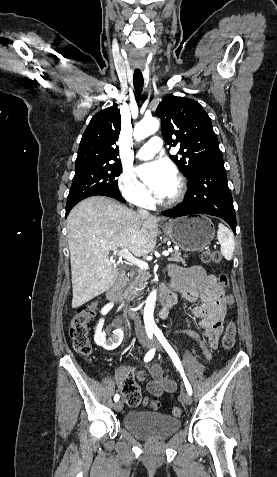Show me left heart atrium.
<instances>
[{
  "mask_svg": "<svg viewBox=\"0 0 277 477\" xmlns=\"http://www.w3.org/2000/svg\"><path fill=\"white\" fill-rule=\"evenodd\" d=\"M149 189L159 198H165L176 182L174 167L165 160H157L138 169Z\"/></svg>",
  "mask_w": 277,
  "mask_h": 477,
  "instance_id": "left-heart-atrium-1",
  "label": "left heart atrium"
}]
</instances>
